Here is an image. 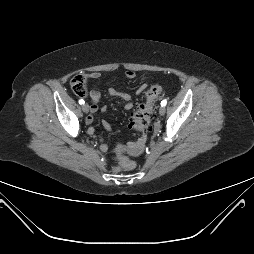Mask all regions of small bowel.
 I'll return each mask as SVG.
<instances>
[{
  "mask_svg": "<svg viewBox=\"0 0 254 254\" xmlns=\"http://www.w3.org/2000/svg\"><path fill=\"white\" fill-rule=\"evenodd\" d=\"M101 76V74L99 72H92L88 75V77L90 79H98L99 77ZM146 76V75H144ZM125 77L127 79H135V78H138L139 77V74L133 70H127L125 72ZM147 87V82L144 81L136 90V95H140L144 92V90L146 89ZM108 93L109 95L111 96H114V97H119L121 98L122 100L125 101V109L126 110H131L133 108V98L132 96L129 94V93H126V92H122V91H119L117 90L116 88H109L108 89ZM100 98H101V93L97 90H92L90 92V99H91V105H90V114L86 117V123L87 124H92L93 121H94V114L96 112L99 111V101H100ZM102 111H105V108H102L101 109ZM104 127L106 130L108 131H111L112 128L110 126V124L108 122H104ZM88 134L91 135V136H96L97 135V132L96 130L93 128V127H90L88 129ZM143 146V140H140L136 143H133L131 145H129V148L133 151H137L139 149H141V147ZM100 149L101 151L103 152H106L108 150V146L107 144L102 140L100 139Z\"/></svg>",
  "mask_w": 254,
  "mask_h": 254,
  "instance_id": "obj_1",
  "label": "small bowel"
}]
</instances>
